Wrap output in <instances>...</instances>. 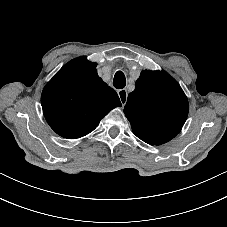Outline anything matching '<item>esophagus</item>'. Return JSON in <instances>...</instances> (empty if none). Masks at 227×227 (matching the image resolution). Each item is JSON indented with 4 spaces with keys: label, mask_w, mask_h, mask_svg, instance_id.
I'll return each mask as SVG.
<instances>
[{
    "label": "esophagus",
    "mask_w": 227,
    "mask_h": 227,
    "mask_svg": "<svg viewBox=\"0 0 227 227\" xmlns=\"http://www.w3.org/2000/svg\"><path fill=\"white\" fill-rule=\"evenodd\" d=\"M118 97L120 98V102L122 104V108L125 106L126 102H127V97H128V93L126 89H120L117 91Z\"/></svg>",
    "instance_id": "obj_1"
}]
</instances>
